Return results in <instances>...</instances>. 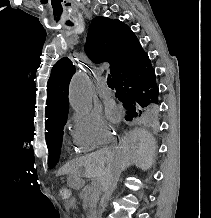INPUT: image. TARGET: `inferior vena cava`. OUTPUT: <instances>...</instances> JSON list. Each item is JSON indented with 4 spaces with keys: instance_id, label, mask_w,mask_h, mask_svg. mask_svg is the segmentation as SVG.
Listing matches in <instances>:
<instances>
[{
    "instance_id": "1",
    "label": "inferior vena cava",
    "mask_w": 211,
    "mask_h": 218,
    "mask_svg": "<svg viewBox=\"0 0 211 218\" xmlns=\"http://www.w3.org/2000/svg\"><path fill=\"white\" fill-rule=\"evenodd\" d=\"M121 174L120 168H114L112 174H109L107 180L105 182H101L102 190L104 192L103 204H106L107 200L111 198L119 180V176Z\"/></svg>"
}]
</instances>
